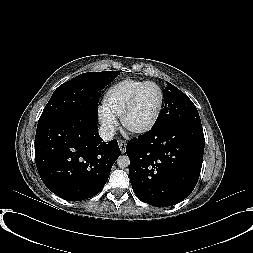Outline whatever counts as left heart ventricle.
I'll list each match as a JSON object with an SVG mask.
<instances>
[{
    "label": "left heart ventricle",
    "mask_w": 253,
    "mask_h": 253,
    "mask_svg": "<svg viewBox=\"0 0 253 253\" xmlns=\"http://www.w3.org/2000/svg\"><path fill=\"white\" fill-rule=\"evenodd\" d=\"M160 102V93L155 86H146L139 94L136 104L128 116V125L140 128L153 118Z\"/></svg>",
    "instance_id": "obj_1"
}]
</instances>
